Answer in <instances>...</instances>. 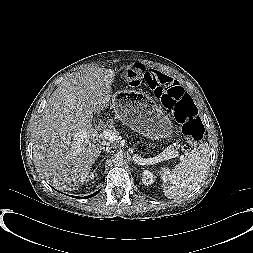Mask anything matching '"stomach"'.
Here are the masks:
<instances>
[{"label": "stomach", "mask_w": 253, "mask_h": 253, "mask_svg": "<svg viewBox=\"0 0 253 253\" xmlns=\"http://www.w3.org/2000/svg\"><path fill=\"white\" fill-rule=\"evenodd\" d=\"M111 101L115 116L137 133L153 140L171 135V120L152 98L137 92L118 91Z\"/></svg>", "instance_id": "stomach-1"}]
</instances>
